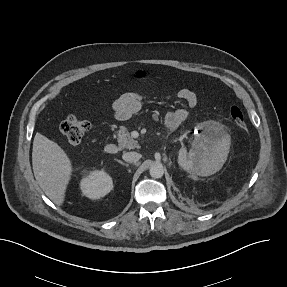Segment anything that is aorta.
<instances>
[{"mask_svg": "<svg viewBox=\"0 0 287 287\" xmlns=\"http://www.w3.org/2000/svg\"><path fill=\"white\" fill-rule=\"evenodd\" d=\"M150 176L153 178H161L164 174V168L161 164H154L149 170Z\"/></svg>", "mask_w": 287, "mask_h": 287, "instance_id": "obj_1", "label": "aorta"}]
</instances>
